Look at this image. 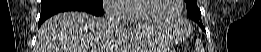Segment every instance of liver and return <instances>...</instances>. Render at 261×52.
I'll list each match as a JSON object with an SVG mask.
<instances>
[{
    "instance_id": "6515ba94",
    "label": "liver",
    "mask_w": 261,
    "mask_h": 52,
    "mask_svg": "<svg viewBox=\"0 0 261 52\" xmlns=\"http://www.w3.org/2000/svg\"><path fill=\"white\" fill-rule=\"evenodd\" d=\"M153 33L156 31L144 26L128 30L113 27L106 17L88 13H59L42 24L36 48L37 52H126L119 51L125 39L141 47Z\"/></svg>"
}]
</instances>
